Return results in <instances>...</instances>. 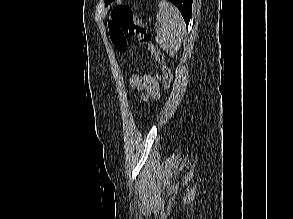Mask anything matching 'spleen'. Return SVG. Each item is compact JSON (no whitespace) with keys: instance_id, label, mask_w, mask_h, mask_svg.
Segmentation results:
<instances>
[{"instance_id":"obj_1","label":"spleen","mask_w":293,"mask_h":219,"mask_svg":"<svg viewBox=\"0 0 293 219\" xmlns=\"http://www.w3.org/2000/svg\"><path fill=\"white\" fill-rule=\"evenodd\" d=\"M157 22L159 24L156 41L169 55H175L181 48L185 36V22L171 3L161 0L158 4Z\"/></svg>"}]
</instances>
